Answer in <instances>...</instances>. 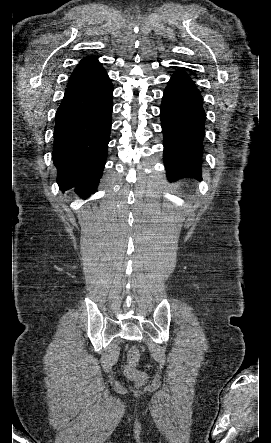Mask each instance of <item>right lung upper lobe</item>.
Listing matches in <instances>:
<instances>
[{
	"label": "right lung upper lobe",
	"mask_w": 271,
	"mask_h": 443,
	"mask_svg": "<svg viewBox=\"0 0 271 443\" xmlns=\"http://www.w3.org/2000/svg\"><path fill=\"white\" fill-rule=\"evenodd\" d=\"M107 78L106 71L97 56L85 57L74 69L67 87L94 84Z\"/></svg>",
	"instance_id": "cb5924a9"
}]
</instances>
